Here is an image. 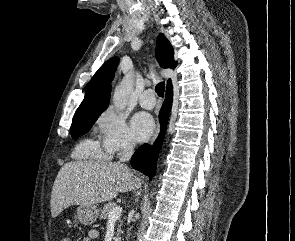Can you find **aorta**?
<instances>
[{"mask_svg":"<svg viewBox=\"0 0 295 241\" xmlns=\"http://www.w3.org/2000/svg\"><path fill=\"white\" fill-rule=\"evenodd\" d=\"M134 86V78L132 74L126 75L119 85L115 88L113 94V104L118 110H124L127 102L128 97L133 91Z\"/></svg>","mask_w":295,"mask_h":241,"instance_id":"aorta-1","label":"aorta"}]
</instances>
